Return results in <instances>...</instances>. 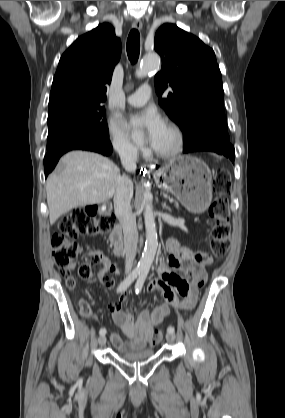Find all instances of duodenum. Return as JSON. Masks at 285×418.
<instances>
[{"label": "duodenum", "mask_w": 285, "mask_h": 418, "mask_svg": "<svg viewBox=\"0 0 285 418\" xmlns=\"http://www.w3.org/2000/svg\"><path fill=\"white\" fill-rule=\"evenodd\" d=\"M110 242L113 246L114 255L119 257L123 254V234L120 225H116L110 234Z\"/></svg>", "instance_id": "obj_1"}]
</instances>
